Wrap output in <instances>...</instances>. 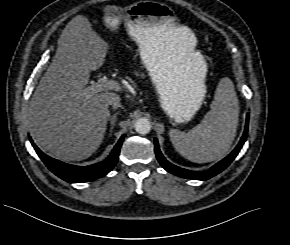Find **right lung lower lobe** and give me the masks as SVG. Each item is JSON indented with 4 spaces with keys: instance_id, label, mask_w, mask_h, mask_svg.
Returning a JSON list of instances; mask_svg holds the SVG:
<instances>
[{
    "instance_id": "1",
    "label": "right lung lower lobe",
    "mask_w": 290,
    "mask_h": 245,
    "mask_svg": "<svg viewBox=\"0 0 290 245\" xmlns=\"http://www.w3.org/2000/svg\"><path fill=\"white\" fill-rule=\"evenodd\" d=\"M124 135L119 139L108 157L88 166H76L64 163L43 153L33 142L32 146L48 169L69 183L91 182L106 176L116 165Z\"/></svg>"
}]
</instances>
